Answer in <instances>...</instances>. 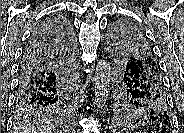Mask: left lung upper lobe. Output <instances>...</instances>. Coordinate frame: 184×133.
Returning <instances> with one entry per match:
<instances>
[{"mask_svg": "<svg viewBox=\"0 0 184 133\" xmlns=\"http://www.w3.org/2000/svg\"><path fill=\"white\" fill-rule=\"evenodd\" d=\"M109 52L114 73L115 112L136 122H147L151 107L138 95L133 81L141 76L142 87L149 90L145 85L160 83L162 77L144 34L130 22H117L110 32ZM166 104L169 111V105Z\"/></svg>", "mask_w": 184, "mask_h": 133, "instance_id": "5c2ea615", "label": "left lung upper lobe"}]
</instances>
